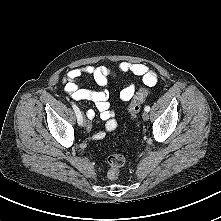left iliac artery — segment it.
<instances>
[{
  "instance_id": "obj_1",
  "label": "left iliac artery",
  "mask_w": 221,
  "mask_h": 221,
  "mask_svg": "<svg viewBox=\"0 0 221 221\" xmlns=\"http://www.w3.org/2000/svg\"><path fill=\"white\" fill-rule=\"evenodd\" d=\"M144 110L147 111V112H149V111H150V106H146V107L144 108Z\"/></svg>"
}]
</instances>
